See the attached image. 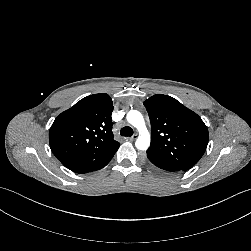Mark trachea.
<instances>
[{"label":"trachea","instance_id":"obj_1","mask_svg":"<svg viewBox=\"0 0 251 251\" xmlns=\"http://www.w3.org/2000/svg\"><path fill=\"white\" fill-rule=\"evenodd\" d=\"M121 136H132L133 135V129L129 126H125L120 130Z\"/></svg>","mask_w":251,"mask_h":251}]
</instances>
